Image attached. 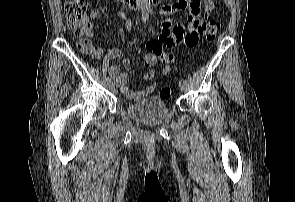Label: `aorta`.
<instances>
[{
  "label": "aorta",
  "instance_id": "aorta-1",
  "mask_svg": "<svg viewBox=\"0 0 295 202\" xmlns=\"http://www.w3.org/2000/svg\"><path fill=\"white\" fill-rule=\"evenodd\" d=\"M140 3H141L142 17L144 19H148L149 18V14H150V3H151V0H140Z\"/></svg>",
  "mask_w": 295,
  "mask_h": 202
}]
</instances>
